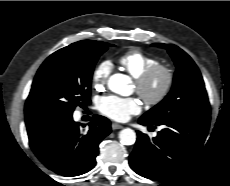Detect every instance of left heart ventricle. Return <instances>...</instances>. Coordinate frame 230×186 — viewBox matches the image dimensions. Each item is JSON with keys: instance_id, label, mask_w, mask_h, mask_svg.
I'll return each instance as SVG.
<instances>
[{"instance_id": "left-heart-ventricle-1", "label": "left heart ventricle", "mask_w": 230, "mask_h": 186, "mask_svg": "<svg viewBox=\"0 0 230 186\" xmlns=\"http://www.w3.org/2000/svg\"><path fill=\"white\" fill-rule=\"evenodd\" d=\"M163 77L157 76L151 83L149 90L152 94H156L162 87Z\"/></svg>"}]
</instances>
